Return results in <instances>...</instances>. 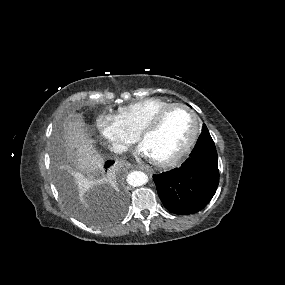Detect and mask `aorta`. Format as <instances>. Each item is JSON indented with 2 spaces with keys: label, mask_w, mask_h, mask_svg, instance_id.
<instances>
[{
  "label": "aorta",
  "mask_w": 285,
  "mask_h": 285,
  "mask_svg": "<svg viewBox=\"0 0 285 285\" xmlns=\"http://www.w3.org/2000/svg\"><path fill=\"white\" fill-rule=\"evenodd\" d=\"M128 183L134 187L141 186L148 181V176L141 171H133L128 175Z\"/></svg>",
  "instance_id": "762f6f07"
}]
</instances>
